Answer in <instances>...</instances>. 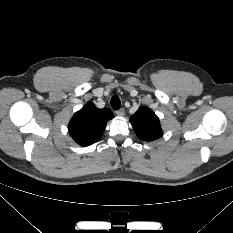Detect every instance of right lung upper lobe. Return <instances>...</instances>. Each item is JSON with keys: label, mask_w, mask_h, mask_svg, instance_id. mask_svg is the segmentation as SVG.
I'll return each instance as SVG.
<instances>
[{"label": "right lung upper lobe", "mask_w": 233, "mask_h": 233, "mask_svg": "<svg viewBox=\"0 0 233 233\" xmlns=\"http://www.w3.org/2000/svg\"><path fill=\"white\" fill-rule=\"evenodd\" d=\"M113 117L114 114L108 108L99 109L88 102L72 117L69 132L79 145L89 146L101 138L107 121Z\"/></svg>", "instance_id": "right-lung-upper-lobe-1"}]
</instances>
